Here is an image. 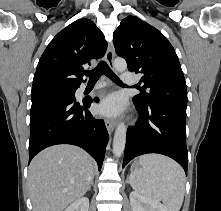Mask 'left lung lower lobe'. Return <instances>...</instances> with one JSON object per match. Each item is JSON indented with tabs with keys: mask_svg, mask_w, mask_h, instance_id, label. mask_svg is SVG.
<instances>
[{
	"mask_svg": "<svg viewBox=\"0 0 221 211\" xmlns=\"http://www.w3.org/2000/svg\"><path fill=\"white\" fill-rule=\"evenodd\" d=\"M134 104L139 120L128 129L123 167L139 155L159 153L177 161L187 174V105L177 102H161L147 107Z\"/></svg>",
	"mask_w": 221,
	"mask_h": 211,
	"instance_id": "0a47b994",
	"label": "left lung lower lobe"
}]
</instances>
